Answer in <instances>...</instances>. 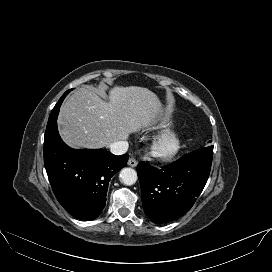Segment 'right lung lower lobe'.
I'll return each instance as SVG.
<instances>
[{"label": "right lung lower lobe", "mask_w": 272, "mask_h": 272, "mask_svg": "<svg viewBox=\"0 0 272 272\" xmlns=\"http://www.w3.org/2000/svg\"><path fill=\"white\" fill-rule=\"evenodd\" d=\"M51 112L44 136V165L59 203L75 218L93 220L106 203L111 177L123 168L129 155H113L104 149L76 150L67 146L57 130V115L66 97Z\"/></svg>", "instance_id": "98d812e1"}]
</instances>
